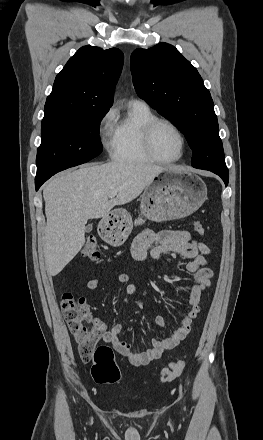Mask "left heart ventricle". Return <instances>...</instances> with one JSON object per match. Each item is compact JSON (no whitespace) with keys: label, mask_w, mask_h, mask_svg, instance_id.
I'll return each instance as SVG.
<instances>
[{"label":"left heart ventricle","mask_w":263,"mask_h":440,"mask_svg":"<svg viewBox=\"0 0 263 440\" xmlns=\"http://www.w3.org/2000/svg\"><path fill=\"white\" fill-rule=\"evenodd\" d=\"M153 149L162 159H174L181 152V139L168 125L160 124L153 133Z\"/></svg>","instance_id":"1"}]
</instances>
